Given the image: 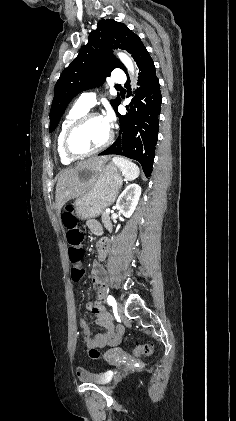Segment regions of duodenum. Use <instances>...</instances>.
Returning a JSON list of instances; mask_svg holds the SVG:
<instances>
[{"mask_svg": "<svg viewBox=\"0 0 236 421\" xmlns=\"http://www.w3.org/2000/svg\"><path fill=\"white\" fill-rule=\"evenodd\" d=\"M109 249V241L106 238H102L98 244V250L100 253V256L102 259H104L108 253ZM93 280L99 287V296L103 297L106 292V271L104 267L100 263H96L93 267L92 272ZM93 311L99 314V310L96 308H93ZM99 323L107 330L108 328V322L103 316H99ZM83 332L88 335L89 330L87 325H82ZM94 341L98 342L99 344H102L106 341H108V333L103 336H98L94 338Z\"/></svg>", "mask_w": 236, "mask_h": 421, "instance_id": "duodenum-1", "label": "duodenum"}]
</instances>
